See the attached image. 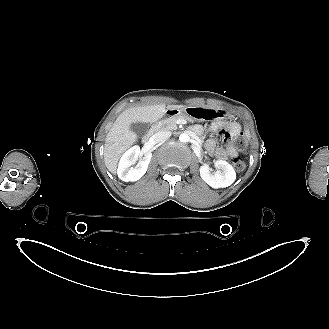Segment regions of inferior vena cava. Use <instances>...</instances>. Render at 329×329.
Returning <instances> with one entry per match:
<instances>
[{
  "label": "inferior vena cava",
  "instance_id": "inferior-vena-cava-1",
  "mask_svg": "<svg viewBox=\"0 0 329 329\" xmlns=\"http://www.w3.org/2000/svg\"><path fill=\"white\" fill-rule=\"evenodd\" d=\"M171 136V133L169 131H159L156 132L152 138L156 143L165 141L166 139H168Z\"/></svg>",
  "mask_w": 329,
  "mask_h": 329
}]
</instances>
